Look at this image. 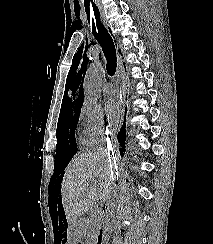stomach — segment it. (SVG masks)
<instances>
[{
  "label": "stomach",
  "mask_w": 213,
  "mask_h": 244,
  "mask_svg": "<svg viewBox=\"0 0 213 244\" xmlns=\"http://www.w3.org/2000/svg\"><path fill=\"white\" fill-rule=\"evenodd\" d=\"M81 222L80 221H69L68 231L69 235L66 239V244H80L81 234L83 230L80 229Z\"/></svg>",
  "instance_id": "stomach-1"
}]
</instances>
